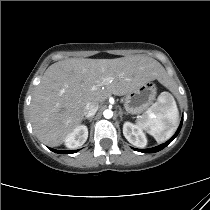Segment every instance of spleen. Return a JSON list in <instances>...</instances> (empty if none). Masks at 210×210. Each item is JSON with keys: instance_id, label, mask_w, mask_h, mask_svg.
<instances>
[{"instance_id": "spleen-1", "label": "spleen", "mask_w": 210, "mask_h": 210, "mask_svg": "<svg viewBox=\"0 0 210 210\" xmlns=\"http://www.w3.org/2000/svg\"><path fill=\"white\" fill-rule=\"evenodd\" d=\"M167 85L171 86L169 83ZM178 123L176 101L168 92H162L157 101L137 121L138 126L152 135L157 142H165L171 138Z\"/></svg>"}]
</instances>
